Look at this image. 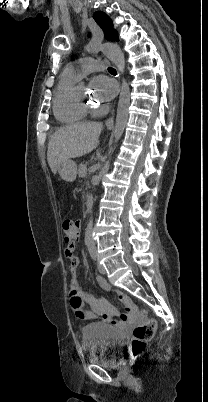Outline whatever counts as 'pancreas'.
Instances as JSON below:
<instances>
[{
    "mask_svg": "<svg viewBox=\"0 0 208 402\" xmlns=\"http://www.w3.org/2000/svg\"><path fill=\"white\" fill-rule=\"evenodd\" d=\"M86 166H88V164H80L79 170H78L79 174H80V172H83V170H85ZM87 186H88V188H90L89 184H87Z\"/></svg>",
    "mask_w": 208,
    "mask_h": 402,
    "instance_id": "obj_1",
    "label": "pancreas"
}]
</instances>
